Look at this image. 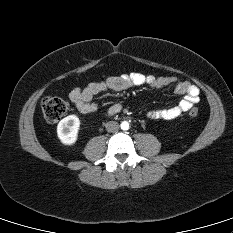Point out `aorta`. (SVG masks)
I'll use <instances>...</instances> for the list:
<instances>
[{
  "label": "aorta",
  "mask_w": 233,
  "mask_h": 233,
  "mask_svg": "<svg viewBox=\"0 0 233 233\" xmlns=\"http://www.w3.org/2000/svg\"><path fill=\"white\" fill-rule=\"evenodd\" d=\"M120 127H121L122 130H128L129 129V123L127 121H123L120 124Z\"/></svg>",
  "instance_id": "obj_1"
}]
</instances>
